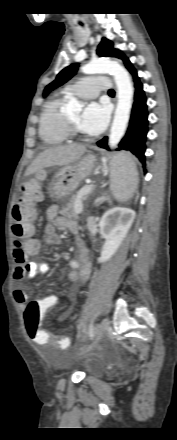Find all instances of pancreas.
<instances>
[{
  "label": "pancreas",
  "mask_w": 177,
  "mask_h": 440,
  "mask_svg": "<svg viewBox=\"0 0 177 440\" xmlns=\"http://www.w3.org/2000/svg\"><path fill=\"white\" fill-rule=\"evenodd\" d=\"M88 189H91V186H86L82 188L80 191H78L77 195H73L71 197L70 202L62 208V210L59 212L63 217L68 219H78V213L76 212L77 204L82 205L81 198L83 197L82 194L86 192ZM83 207V205H82Z\"/></svg>",
  "instance_id": "obj_1"
}]
</instances>
